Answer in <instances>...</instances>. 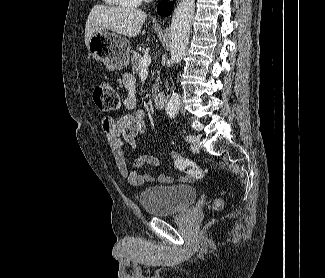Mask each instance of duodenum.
<instances>
[{"instance_id": "1", "label": "duodenum", "mask_w": 325, "mask_h": 278, "mask_svg": "<svg viewBox=\"0 0 325 278\" xmlns=\"http://www.w3.org/2000/svg\"><path fill=\"white\" fill-rule=\"evenodd\" d=\"M153 101L157 109H163L166 104V97L163 93L157 92L154 95Z\"/></svg>"}]
</instances>
